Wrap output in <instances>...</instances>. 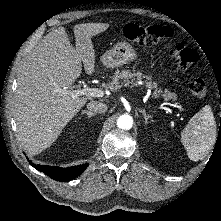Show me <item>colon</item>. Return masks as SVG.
<instances>
[{"label":"colon","instance_id":"5ec220e1","mask_svg":"<svg viewBox=\"0 0 221 221\" xmlns=\"http://www.w3.org/2000/svg\"><path fill=\"white\" fill-rule=\"evenodd\" d=\"M123 38L141 46H152L162 41L170 40L174 31L168 26L150 25L141 26L129 23L122 27ZM171 54L176 61L178 68L187 74L190 82L189 89L193 96L201 98L207 92L205 81L201 77L192 75V70L198 61L197 53L181 42L174 43L171 47Z\"/></svg>","mask_w":221,"mask_h":221}]
</instances>
